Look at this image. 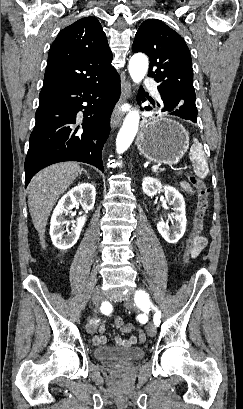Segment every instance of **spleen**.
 Segmentation results:
<instances>
[{
    "label": "spleen",
    "mask_w": 243,
    "mask_h": 409,
    "mask_svg": "<svg viewBox=\"0 0 243 409\" xmlns=\"http://www.w3.org/2000/svg\"><path fill=\"white\" fill-rule=\"evenodd\" d=\"M193 142L189 155L193 162L194 172L199 178L204 179L209 172L208 163L201 143L196 138L193 139Z\"/></svg>",
    "instance_id": "3e777b00"
}]
</instances>
